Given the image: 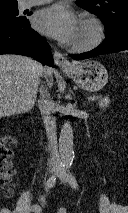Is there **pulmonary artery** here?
<instances>
[{
    "label": "pulmonary artery",
    "mask_w": 128,
    "mask_h": 213,
    "mask_svg": "<svg viewBox=\"0 0 128 213\" xmlns=\"http://www.w3.org/2000/svg\"><path fill=\"white\" fill-rule=\"evenodd\" d=\"M52 0H21V7L22 8H30L32 6L42 5L48 3Z\"/></svg>",
    "instance_id": "1"
}]
</instances>
